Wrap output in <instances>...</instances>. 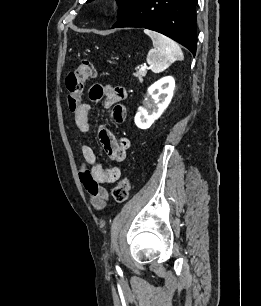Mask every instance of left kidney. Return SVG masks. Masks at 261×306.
<instances>
[{
    "label": "left kidney",
    "mask_w": 261,
    "mask_h": 306,
    "mask_svg": "<svg viewBox=\"0 0 261 306\" xmlns=\"http://www.w3.org/2000/svg\"><path fill=\"white\" fill-rule=\"evenodd\" d=\"M175 80L173 77H164L148 88L144 107H139L135 116V124L140 129H148L157 120L173 97Z\"/></svg>",
    "instance_id": "left-kidney-1"
}]
</instances>
